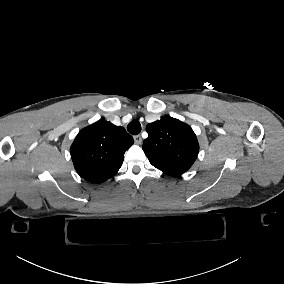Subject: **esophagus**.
Listing matches in <instances>:
<instances>
[{
    "label": "esophagus",
    "instance_id": "esophagus-1",
    "mask_svg": "<svg viewBox=\"0 0 284 284\" xmlns=\"http://www.w3.org/2000/svg\"><path fill=\"white\" fill-rule=\"evenodd\" d=\"M134 141H135V143H137V144H141V143H142V138H141V136H140V135H135V136H134Z\"/></svg>",
    "mask_w": 284,
    "mask_h": 284
}]
</instances>
